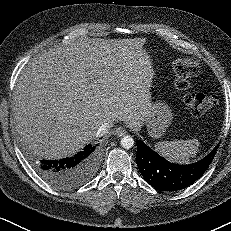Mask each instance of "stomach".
I'll list each match as a JSON object with an SVG mask.
<instances>
[{"instance_id": "1", "label": "stomach", "mask_w": 231, "mask_h": 231, "mask_svg": "<svg viewBox=\"0 0 231 231\" xmlns=\"http://www.w3.org/2000/svg\"><path fill=\"white\" fill-rule=\"evenodd\" d=\"M173 119L172 110L164 101L152 103L150 114L144 121L148 134L153 138H160L165 134Z\"/></svg>"}]
</instances>
